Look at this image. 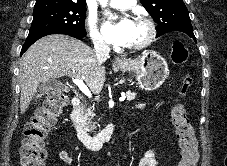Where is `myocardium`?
<instances>
[{
	"label": "myocardium",
	"instance_id": "myocardium-1",
	"mask_svg": "<svg viewBox=\"0 0 227 166\" xmlns=\"http://www.w3.org/2000/svg\"><path fill=\"white\" fill-rule=\"evenodd\" d=\"M135 19H136V21L141 22L145 26L146 36L144 37L143 40H141L137 43L128 45L127 48L131 49V50H140V49L147 47L148 45H150L152 43V41L154 40V38L156 36V27H155L154 23L152 22V20L149 19L144 14L137 15Z\"/></svg>",
	"mask_w": 227,
	"mask_h": 166
}]
</instances>
